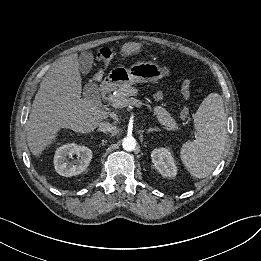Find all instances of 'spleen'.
Segmentation results:
<instances>
[{"label":"spleen","mask_w":261,"mask_h":261,"mask_svg":"<svg viewBox=\"0 0 261 261\" xmlns=\"http://www.w3.org/2000/svg\"><path fill=\"white\" fill-rule=\"evenodd\" d=\"M198 138L184 143L180 158L193 177L209 176L220 161L226 143V117L223 100L209 94L194 116Z\"/></svg>","instance_id":"spleen-1"}]
</instances>
